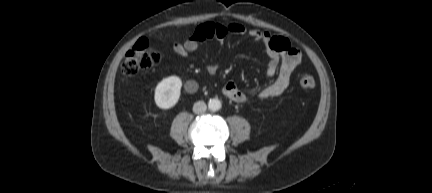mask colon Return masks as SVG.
<instances>
[{"label": "colon", "mask_w": 432, "mask_h": 193, "mask_svg": "<svg viewBox=\"0 0 432 193\" xmlns=\"http://www.w3.org/2000/svg\"><path fill=\"white\" fill-rule=\"evenodd\" d=\"M224 31L217 29L211 32L208 37L222 36ZM161 60V54L150 46L148 39H139L134 46L126 53L121 64V72L126 76H133L141 70H146L157 65ZM299 85L304 90H312L316 86V80L311 74H302L299 78Z\"/></svg>", "instance_id": "colon-1"}]
</instances>
